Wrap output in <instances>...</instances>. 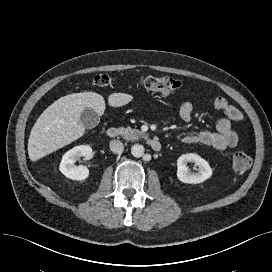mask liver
I'll use <instances>...</instances> for the list:
<instances>
[{
    "label": "liver",
    "mask_w": 272,
    "mask_h": 272,
    "mask_svg": "<svg viewBox=\"0 0 272 272\" xmlns=\"http://www.w3.org/2000/svg\"><path fill=\"white\" fill-rule=\"evenodd\" d=\"M133 96L113 93L108 97L111 107H121L132 101ZM85 108L93 109L99 116L105 111V100L96 92L69 94L46 108L35 122L28 140V155L37 161L72 143L85 133L80 122Z\"/></svg>",
    "instance_id": "liver-1"
}]
</instances>
